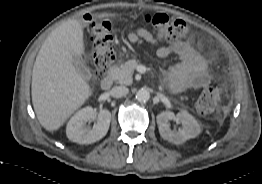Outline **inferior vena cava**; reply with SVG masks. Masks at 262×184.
<instances>
[{
    "label": "inferior vena cava",
    "instance_id": "602c4592",
    "mask_svg": "<svg viewBox=\"0 0 262 184\" xmlns=\"http://www.w3.org/2000/svg\"><path fill=\"white\" fill-rule=\"evenodd\" d=\"M129 92V89L125 86H115L111 89L110 94L113 97L119 98L126 96Z\"/></svg>",
    "mask_w": 262,
    "mask_h": 184
}]
</instances>
